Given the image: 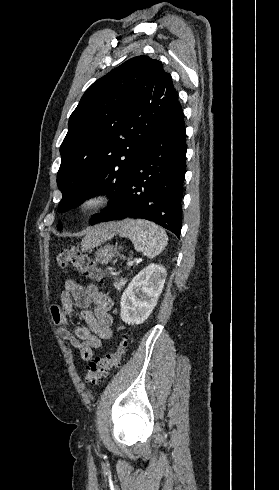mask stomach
Wrapping results in <instances>:
<instances>
[{"mask_svg": "<svg viewBox=\"0 0 279 490\" xmlns=\"http://www.w3.org/2000/svg\"><path fill=\"white\" fill-rule=\"evenodd\" d=\"M116 254L115 246H103V248H99L96 252V262H99V264H108Z\"/></svg>", "mask_w": 279, "mask_h": 490, "instance_id": "1", "label": "stomach"}]
</instances>
